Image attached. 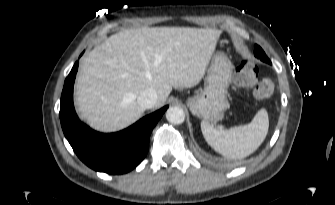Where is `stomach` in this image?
Listing matches in <instances>:
<instances>
[{"label": "stomach", "mask_w": 335, "mask_h": 205, "mask_svg": "<svg viewBox=\"0 0 335 205\" xmlns=\"http://www.w3.org/2000/svg\"><path fill=\"white\" fill-rule=\"evenodd\" d=\"M233 65L223 52L214 53L207 70L206 86L199 94L186 100L193 115L207 121L222 119L228 107V87L231 83Z\"/></svg>", "instance_id": "stomach-1"}]
</instances>
